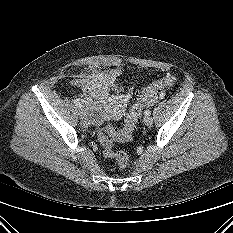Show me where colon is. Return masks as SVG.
I'll list each match as a JSON object with an SVG mask.
<instances>
[{"label":"colon","mask_w":233,"mask_h":233,"mask_svg":"<svg viewBox=\"0 0 233 233\" xmlns=\"http://www.w3.org/2000/svg\"><path fill=\"white\" fill-rule=\"evenodd\" d=\"M176 83L174 75H167L143 89L131 104L129 113L122 128L105 126L98 133V140L103 147V156L114 160L120 169L127 167L129 157L124 151L113 149V140L128 142L133 138L137 125L142 116L145 106L152 104L162 97V92Z\"/></svg>","instance_id":"1"}]
</instances>
